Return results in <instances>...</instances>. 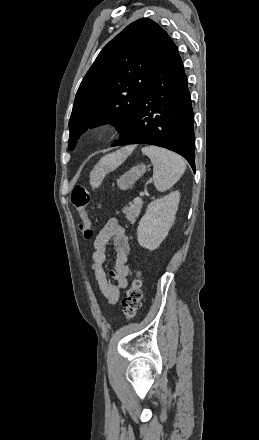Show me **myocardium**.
I'll return each mask as SVG.
<instances>
[{"label":"myocardium","mask_w":259,"mask_h":440,"mask_svg":"<svg viewBox=\"0 0 259 440\" xmlns=\"http://www.w3.org/2000/svg\"><path fill=\"white\" fill-rule=\"evenodd\" d=\"M111 131V125L108 122H98L90 130V136L94 139H101Z\"/></svg>","instance_id":"1"}]
</instances>
